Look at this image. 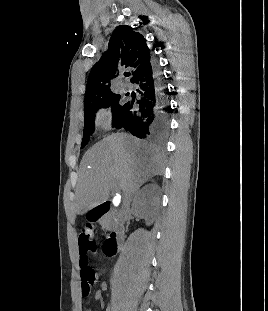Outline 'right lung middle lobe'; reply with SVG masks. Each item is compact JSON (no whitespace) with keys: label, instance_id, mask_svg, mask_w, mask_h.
<instances>
[{"label":"right lung middle lobe","instance_id":"1","mask_svg":"<svg viewBox=\"0 0 268 311\" xmlns=\"http://www.w3.org/2000/svg\"><path fill=\"white\" fill-rule=\"evenodd\" d=\"M124 103L121 101V96L118 94H112L105 99L98 102L96 105L87 110L84 117V131H83V139H82V148L86 146L88 143L90 135L94 132V119L95 113L100 108H108L111 107L112 115H113V126L121 112Z\"/></svg>","mask_w":268,"mask_h":311}]
</instances>
